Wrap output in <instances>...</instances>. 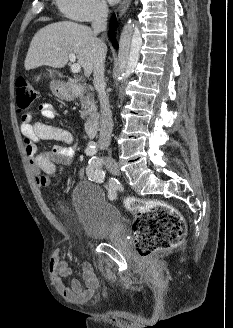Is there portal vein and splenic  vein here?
Here are the masks:
<instances>
[{
  "label": "portal vein and splenic vein",
  "mask_w": 233,
  "mask_h": 328,
  "mask_svg": "<svg viewBox=\"0 0 233 328\" xmlns=\"http://www.w3.org/2000/svg\"><path fill=\"white\" fill-rule=\"evenodd\" d=\"M69 60L72 63L71 65V71L72 73H79L81 71V66L76 62V55L74 53L69 54Z\"/></svg>",
  "instance_id": "1"
}]
</instances>
